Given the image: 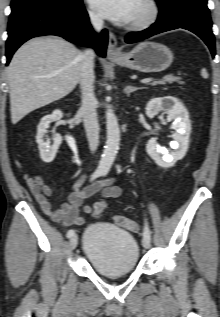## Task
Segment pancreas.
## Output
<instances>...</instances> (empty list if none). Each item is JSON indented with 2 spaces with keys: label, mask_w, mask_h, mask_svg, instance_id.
Segmentation results:
<instances>
[{
  "label": "pancreas",
  "mask_w": 220,
  "mask_h": 317,
  "mask_svg": "<svg viewBox=\"0 0 220 317\" xmlns=\"http://www.w3.org/2000/svg\"><path fill=\"white\" fill-rule=\"evenodd\" d=\"M173 82L181 83L179 77H176V76H173V75H167V76L163 77L162 80L154 81V82L152 83V85H153V86H155V85H163V84H165V83H173Z\"/></svg>",
  "instance_id": "1"
}]
</instances>
